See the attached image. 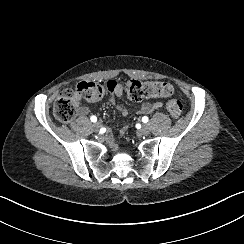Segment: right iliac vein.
<instances>
[{"label": "right iliac vein", "instance_id": "1", "mask_svg": "<svg viewBox=\"0 0 244 244\" xmlns=\"http://www.w3.org/2000/svg\"><path fill=\"white\" fill-rule=\"evenodd\" d=\"M101 127V122L100 121H96L94 124H93V129L95 131H98Z\"/></svg>", "mask_w": 244, "mask_h": 244}]
</instances>
